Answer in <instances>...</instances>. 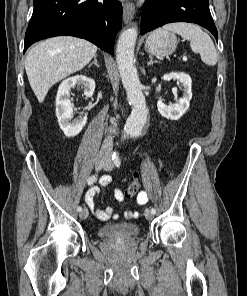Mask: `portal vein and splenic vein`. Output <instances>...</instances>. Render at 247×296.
Here are the masks:
<instances>
[{
	"mask_svg": "<svg viewBox=\"0 0 247 296\" xmlns=\"http://www.w3.org/2000/svg\"><path fill=\"white\" fill-rule=\"evenodd\" d=\"M183 61H187V57L186 56L183 57Z\"/></svg>",
	"mask_w": 247,
	"mask_h": 296,
	"instance_id": "18ae733b",
	"label": "portal vein and splenic vein"
}]
</instances>
